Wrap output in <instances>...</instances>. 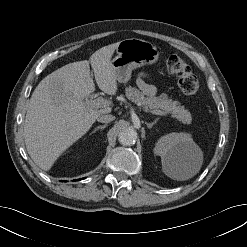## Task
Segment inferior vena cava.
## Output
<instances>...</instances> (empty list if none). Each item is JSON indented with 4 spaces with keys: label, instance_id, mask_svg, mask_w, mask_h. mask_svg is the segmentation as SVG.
Wrapping results in <instances>:
<instances>
[{
    "label": "inferior vena cava",
    "instance_id": "obj_1",
    "mask_svg": "<svg viewBox=\"0 0 247 247\" xmlns=\"http://www.w3.org/2000/svg\"><path fill=\"white\" fill-rule=\"evenodd\" d=\"M115 120V116L111 115V114H100L97 117V121L101 122V123H109L111 121Z\"/></svg>",
    "mask_w": 247,
    "mask_h": 247
}]
</instances>
